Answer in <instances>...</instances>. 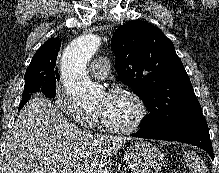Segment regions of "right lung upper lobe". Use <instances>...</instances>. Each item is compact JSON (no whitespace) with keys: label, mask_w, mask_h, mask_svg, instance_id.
<instances>
[{"label":"right lung upper lobe","mask_w":219,"mask_h":173,"mask_svg":"<svg viewBox=\"0 0 219 173\" xmlns=\"http://www.w3.org/2000/svg\"><path fill=\"white\" fill-rule=\"evenodd\" d=\"M61 46L59 38H50L35 53L29 66L43 67L46 70H53L58 75L56 59Z\"/></svg>","instance_id":"obj_1"}]
</instances>
